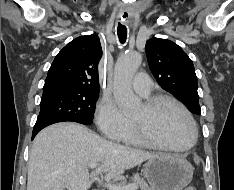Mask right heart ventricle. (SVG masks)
Here are the masks:
<instances>
[{"instance_id":"right-heart-ventricle-1","label":"right heart ventricle","mask_w":234,"mask_h":190,"mask_svg":"<svg viewBox=\"0 0 234 190\" xmlns=\"http://www.w3.org/2000/svg\"><path fill=\"white\" fill-rule=\"evenodd\" d=\"M121 142L131 146H146L147 144L139 137L134 122L130 120V124L126 132L120 139Z\"/></svg>"}]
</instances>
